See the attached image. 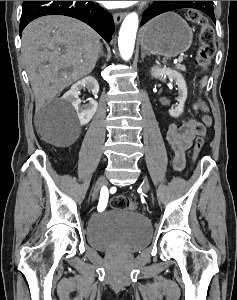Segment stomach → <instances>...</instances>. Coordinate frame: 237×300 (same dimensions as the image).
Listing matches in <instances>:
<instances>
[{
	"label": "stomach",
	"instance_id": "0dacf381",
	"mask_svg": "<svg viewBox=\"0 0 237 300\" xmlns=\"http://www.w3.org/2000/svg\"><path fill=\"white\" fill-rule=\"evenodd\" d=\"M142 49L163 57H177L192 45L193 33L176 13H164L146 23L140 31Z\"/></svg>",
	"mask_w": 237,
	"mask_h": 300
}]
</instances>
